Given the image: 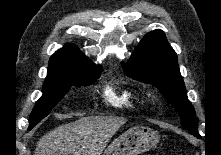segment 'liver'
Masks as SVG:
<instances>
[{
	"label": "liver",
	"instance_id": "1",
	"mask_svg": "<svg viewBox=\"0 0 221 155\" xmlns=\"http://www.w3.org/2000/svg\"><path fill=\"white\" fill-rule=\"evenodd\" d=\"M126 122L119 116H88L63 124L39 140L35 155H101Z\"/></svg>",
	"mask_w": 221,
	"mask_h": 155
}]
</instances>
